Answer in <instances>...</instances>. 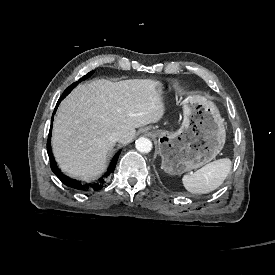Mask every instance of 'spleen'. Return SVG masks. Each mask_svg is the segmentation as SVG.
<instances>
[{
  "mask_svg": "<svg viewBox=\"0 0 275 275\" xmlns=\"http://www.w3.org/2000/svg\"><path fill=\"white\" fill-rule=\"evenodd\" d=\"M231 170L228 158L206 164L192 174L182 177L184 188L194 194H206L218 188Z\"/></svg>",
  "mask_w": 275,
  "mask_h": 275,
  "instance_id": "1",
  "label": "spleen"
}]
</instances>
